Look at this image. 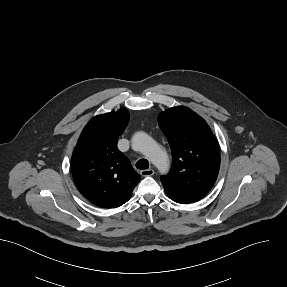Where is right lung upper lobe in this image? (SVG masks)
Returning a JSON list of instances; mask_svg holds the SVG:
<instances>
[{"mask_svg":"<svg viewBox=\"0 0 287 287\" xmlns=\"http://www.w3.org/2000/svg\"><path fill=\"white\" fill-rule=\"evenodd\" d=\"M129 120L126 109L98 115L83 129L72 154L71 168L80 193L100 207L126 203L140 180L117 142Z\"/></svg>","mask_w":287,"mask_h":287,"instance_id":"1","label":"right lung upper lobe"}]
</instances>
